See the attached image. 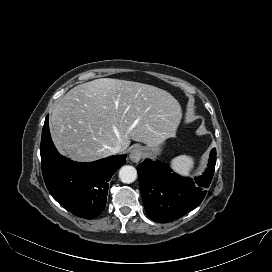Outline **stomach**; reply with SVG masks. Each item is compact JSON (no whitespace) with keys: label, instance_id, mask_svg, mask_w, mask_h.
<instances>
[{"label":"stomach","instance_id":"1","mask_svg":"<svg viewBox=\"0 0 272 272\" xmlns=\"http://www.w3.org/2000/svg\"><path fill=\"white\" fill-rule=\"evenodd\" d=\"M146 151H147V154L149 156H156V155H159L161 153V148H160V145L155 146V147H150L149 146V147L146 148Z\"/></svg>","mask_w":272,"mask_h":272}]
</instances>
